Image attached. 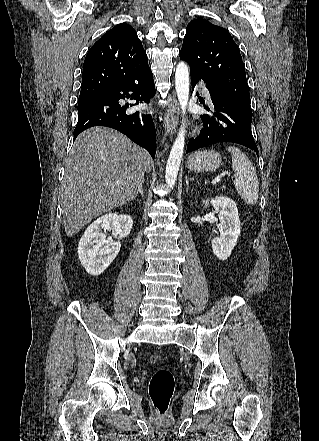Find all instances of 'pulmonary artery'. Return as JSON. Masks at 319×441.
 <instances>
[{"label":"pulmonary artery","mask_w":319,"mask_h":441,"mask_svg":"<svg viewBox=\"0 0 319 441\" xmlns=\"http://www.w3.org/2000/svg\"><path fill=\"white\" fill-rule=\"evenodd\" d=\"M202 93L205 97H207V98L210 97V92L205 86H203V88H202Z\"/></svg>","instance_id":"pulmonary-artery-1"}]
</instances>
